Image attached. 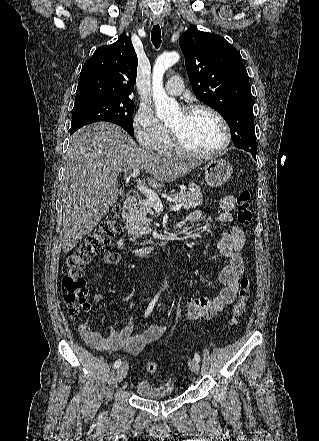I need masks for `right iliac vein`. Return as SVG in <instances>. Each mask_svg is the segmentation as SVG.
Listing matches in <instances>:
<instances>
[{"label": "right iliac vein", "instance_id": "63e3f726", "mask_svg": "<svg viewBox=\"0 0 319 441\" xmlns=\"http://www.w3.org/2000/svg\"><path fill=\"white\" fill-rule=\"evenodd\" d=\"M128 372V364L127 362H123L117 370V382H121Z\"/></svg>", "mask_w": 319, "mask_h": 441}]
</instances>
